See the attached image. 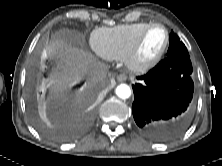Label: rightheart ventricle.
Here are the masks:
<instances>
[{"instance_id": "1", "label": "right heart ventricle", "mask_w": 222, "mask_h": 166, "mask_svg": "<svg viewBox=\"0 0 222 166\" xmlns=\"http://www.w3.org/2000/svg\"><path fill=\"white\" fill-rule=\"evenodd\" d=\"M148 24L137 22L99 28L91 36L92 47L100 56L106 59L124 58L140 31Z\"/></svg>"}]
</instances>
